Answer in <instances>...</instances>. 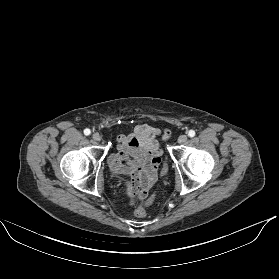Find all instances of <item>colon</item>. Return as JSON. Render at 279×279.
<instances>
[{"label": "colon", "instance_id": "colon-1", "mask_svg": "<svg viewBox=\"0 0 279 279\" xmlns=\"http://www.w3.org/2000/svg\"><path fill=\"white\" fill-rule=\"evenodd\" d=\"M166 166L164 167L163 169V173L166 172ZM153 201V198H150L148 200H144L142 201L135 209L134 211V214L137 216V217H145L146 214H147V208L148 206L152 203Z\"/></svg>", "mask_w": 279, "mask_h": 279}]
</instances>
